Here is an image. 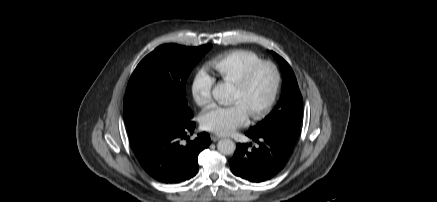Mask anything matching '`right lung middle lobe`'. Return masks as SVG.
<instances>
[{
	"instance_id": "obj_1",
	"label": "right lung middle lobe",
	"mask_w": 437,
	"mask_h": 202,
	"mask_svg": "<svg viewBox=\"0 0 437 202\" xmlns=\"http://www.w3.org/2000/svg\"><path fill=\"white\" fill-rule=\"evenodd\" d=\"M211 47L161 45L137 65L124 97V121L133 147L154 135L163 123L191 120L186 80Z\"/></svg>"
}]
</instances>
